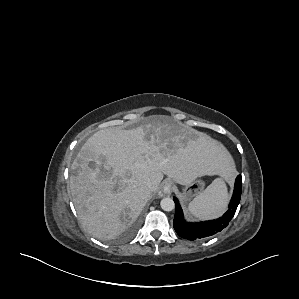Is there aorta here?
I'll return each mask as SVG.
<instances>
[{"mask_svg": "<svg viewBox=\"0 0 299 299\" xmlns=\"http://www.w3.org/2000/svg\"><path fill=\"white\" fill-rule=\"evenodd\" d=\"M160 206L164 211H172L175 208V203L172 198L165 197L161 200Z\"/></svg>", "mask_w": 299, "mask_h": 299, "instance_id": "1", "label": "aorta"}]
</instances>
